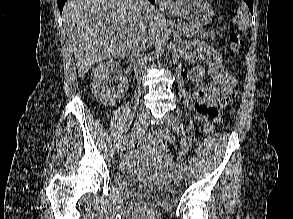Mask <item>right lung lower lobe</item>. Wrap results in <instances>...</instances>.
Returning a JSON list of instances; mask_svg holds the SVG:
<instances>
[{
    "mask_svg": "<svg viewBox=\"0 0 293 219\" xmlns=\"http://www.w3.org/2000/svg\"><path fill=\"white\" fill-rule=\"evenodd\" d=\"M152 4H154L155 0H149ZM66 2V0H57V3H58V7H59V10H60V13L62 12L63 10V5L64 3Z\"/></svg>",
    "mask_w": 293,
    "mask_h": 219,
    "instance_id": "1",
    "label": "right lung lower lobe"
}]
</instances>
